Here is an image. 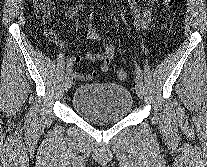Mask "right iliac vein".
I'll return each instance as SVG.
<instances>
[{
    "mask_svg": "<svg viewBox=\"0 0 207 167\" xmlns=\"http://www.w3.org/2000/svg\"><path fill=\"white\" fill-rule=\"evenodd\" d=\"M72 84H73V73H72V69H70L67 72V75L65 78L64 89L66 92L70 90V88L72 87Z\"/></svg>",
    "mask_w": 207,
    "mask_h": 167,
    "instance_id": "63e3f726",
    "label": "right iliac vein"
}]
</instances>
